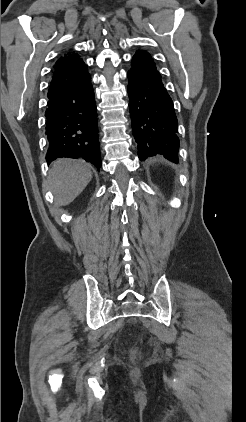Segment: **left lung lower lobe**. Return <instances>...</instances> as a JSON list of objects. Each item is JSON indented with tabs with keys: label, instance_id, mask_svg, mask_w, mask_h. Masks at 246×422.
Instances as JSON below:
<instances>
[{
	"label": "left lung lower lobe",
	"instance_id": "obj_1",
	"mask_svg": "<svg viewBox=\"0 0 246 422\" xmlns=\"http://www.w3.org/2000/svg\"><path fill=\"white\" fill-rule=\"evenodd\" d=\"M128 71L129 111L141 161L155 155L177 163L179 138L174 106L159 71L144 50H138Z\"/></svg>",
	"mask_w": 246,
	"mask_h": 422
}]
</instances>
